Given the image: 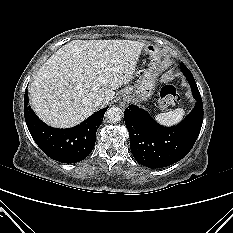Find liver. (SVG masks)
Returning a JSON list of instances; mask_svg holds the SVG:
<instances>
[{
    "instance_id": "liver-1",
    "label": "liver",
    "mask_w": 233,
    "mask_h": 233,
    "mask_svg": "<svg viewBox=\"0 0 233 233\" xmlns=\"http://www.w3.org/2000/svg\"><path fill=\"white\" fill-rule=\"evenodd\" d=\"M147 44L131 40H73L40 67L29 87L39 118L58 128L73 127L96 111L94 99L106 105L115 91L133 79Z\"/></svg>"
}]
</instances>
